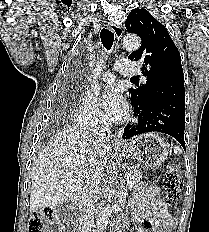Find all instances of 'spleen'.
I'll use <instances>...</instances> for the list:
<instances>
[{
	"label": "spleen",
	"mask_w": 209,
	"mask_h": 232,
	"mask_svg": "<svg viewBox=\"0 0 209 232\" xmlns=\"http://www.w3.org/2000/svg\"><path fill=\"white\" fill-rule=\"evenodd\" d=\"M174 153L179 155V154L182 153V150L180 149V147L175 146V147H174Z\"/></svg>",
	"instance_id": "3e777b00"
}]
</instances>
